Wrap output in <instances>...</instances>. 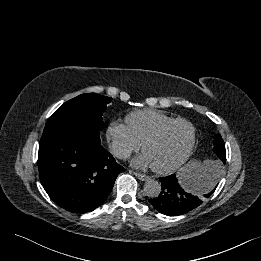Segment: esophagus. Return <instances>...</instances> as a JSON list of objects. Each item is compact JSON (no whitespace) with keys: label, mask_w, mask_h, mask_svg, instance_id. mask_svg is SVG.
I'll list each match as a JSON object with an SVG mask.
<instances>
[{"label":"esophagus","mask_w":261,"mask_h":261,"mask_svg":"<svg viewBox=\"0 0 261 261\" xmlns=\"http://www.w3.org/2000/svg\"><path fill=\"white\" fill-rule=\"evenodd\" d=\"M134 175L141 181H146L149 179V176L145 175V174H141L139 172H133Z\"/></svg>","instance_id":"34e87169"}]
</instances>
